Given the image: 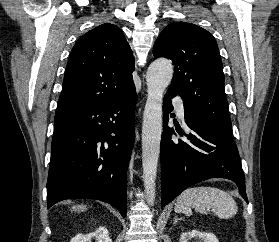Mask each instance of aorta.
I'll use <instances>...</instances> for the list:
<instances>
[{"instance_id": "762f6f07", "label": "aorta", "mask_w": 279, "mask_h": 242, "mask_svg": "<svg viewBox=\"0 0 279 242\" xmlns=\"http://www.w3.org/2000/svg\"><path fill=\"white\" fill-rule=\"evenodd\" d=\"M173 77V66L168 59L153 61L146 74L147 100L142 125L143 180L148 204L155 200V180L162 134L163 93Z\"/></svg>"}]
</instances>
